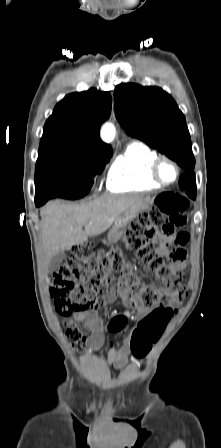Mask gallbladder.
<instances>
[{"label": "gallbladder", "mask_w": 221, "mask_h": 448, "mask_svg": "<svg viewBox=\"0 0 221 448\" xmlns=\"http://www.w3.org/2000/svg\"><path fill=\"white\" fill-rule=\"evenodd\" d=\"M66 254L64 251H60L59 253H57L50 261L49 263V270L50 271H54L56 270L61 262L65 259Z\"/></svg>", "instance_id": "gallbladder-1"}]
</instances>
